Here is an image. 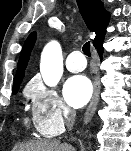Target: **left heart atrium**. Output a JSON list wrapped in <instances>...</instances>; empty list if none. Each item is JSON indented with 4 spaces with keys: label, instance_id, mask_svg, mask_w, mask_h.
I'll use <instances>...</instances> for the list:
<instances>
[{
    "label": "left heart atrium",
    "instance_id": "39dd6f15",
    "mask_svg": "<svg viewBox=\"0 0 131 151\" xmlns=\"http://www.w3.org/2000/svg\"><path fill=\"white\" fill-rule=\"evenodd\" d=\"M92 92L91 81L83 75L69 78L63 90L66 102L74 108L83 107L91 98Z\"/></svg>",
    "mask_w": 131,
    "mask_h": 151
}]
</instances>
